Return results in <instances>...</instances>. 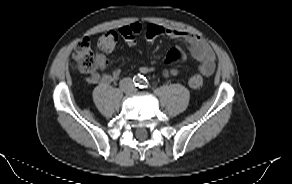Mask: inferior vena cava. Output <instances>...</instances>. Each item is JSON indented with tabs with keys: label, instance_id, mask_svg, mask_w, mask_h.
<instances>
[{
	"label": "inferior vena cava",
	"instance_id": "602c4592",
	"mask_svg": "<svg viewBox=\"0 0 292 184\" xmlns=\"http://www.w3.org/2000/svg\"><path fill=\"white\" fill-rule=\"evenodd\" d=\"M120 88L127 93L134 90V84L130 78H124L120 81Z\"/></svg>",
	"mask_w": 292,
	"mask_h": 184
}]
</instances>
